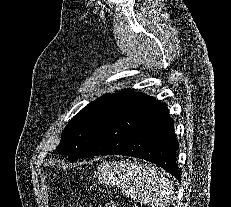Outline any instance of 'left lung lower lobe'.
Here are the masks:
<instances>
[{
  "instance_id": "obj_1",
  "label": "left lung lower lobe",
  "mask_w": 231,
  "mask_h": 207,
  "mask_svg": "<svg viewBox=\"0 0 231 207\" xmlns=\"http://www.w3.org/2000/svg\"><path fill=\"white\" fill-rule=\"evenodd\" d=\"M178 141L167 105L136 93L104 124L81 158L117 154L151 161L180 180Z\"/></svg>"
}]
</instances>
